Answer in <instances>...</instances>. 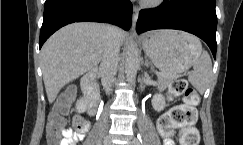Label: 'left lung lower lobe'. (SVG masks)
I'll return each mask as SVG.
<instances>
[{
  "mask_svg": "<svg viewBox=\"0 0 243 145\" xmlns=\"http://www.w3.org/2000/svg\"><path fill=\"white\" fill-rule=\"evenodd\" d=\"M216 27L215 5L195 0H164L156 8L139 12L136 30L142 33L152 29H178L192 33L207 43L216 58Z\"/></svg>",
  "mask_w": 243,
  "mask_h": 145,
  "instance_id": "left-lung-lower-lobe-1",
  "label": "left lung lower lobe"
}]
</instances>
